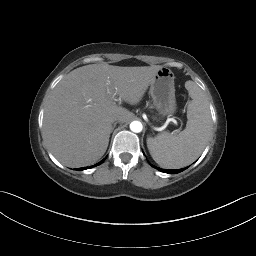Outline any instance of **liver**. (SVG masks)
Returning a JSON list of instances; mask_svg holds the SVG:
<instances>
[{"mask_svg": "<svg viewBox=\"0 0 256 256\" xmlns=\"http://www.w3.org/2000/svg\"><path fill=\"white\" fill-rule=\"evenodd\" d=\"M162 68L90 64L68 73L54 88L44 111L43 133L52 154L65 166H88L106 152L112 116L127 122L132 113L114 94L138 104Z\"/></svg>", "mask_w": 256, "mask_h": 256, "instance_id": "liver-1", "label": "liver"}]
</instances>
